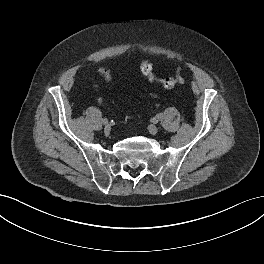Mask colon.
<instances>
[{
  "label": "colon",
  "instance_id": "obj_1",
  "mask_svg": "<svg viewBox=\"0 0 264 264\" xmlns=\"http://www.w3.org/2000/svg\"><path fill=\"white\" fill-rule=\"evenodd\" d=\"M140 71L150 82L159 83L167 89L175 88L176 86L183 83V78L180 74L175 77H157L154 74L153 64L148 60L141 62ZM99 73L106 81L111 80V71L108 68H100Z\"/></svg>",
  "mask_w": 264,
  "mask_h": 264
}]
</instances>
